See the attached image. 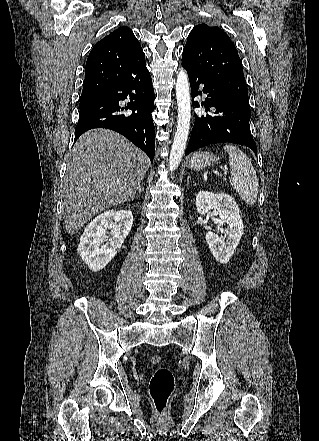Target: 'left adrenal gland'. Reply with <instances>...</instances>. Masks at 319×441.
Instances as JSON below:
<instances>
[{
  "label": "left adrenal gland",
  "instance_id": "left-adrenal-gland-1",
  "mask_svg": "<svg viewBox=\"0 0 319 441\" xmlns=\"http://www.w3.org/2000/svg\"><path fill=\"white\" fill-rule=\"evenodd\" d=\"M189 183V177H187V184Z\"/></svg>",
  "mask_w": 319,
  "mask_h": 441
}]
</instances>
